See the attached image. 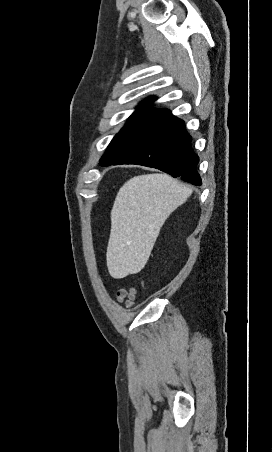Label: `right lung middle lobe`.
I'll return each instance as SVG.
<instances>
[{
	"mask_svg": "<svg viewBox=\"0 0 272 452\" xmlns=\"http://www.w3.org/2000/svg\"><path fill=\"white\" fill-rule=\"evenodd\" d=\"M155 114H133L113 138L100 160L101 166H110L133 146L159 118Z\"/></svg>",
	"mask_w": 272,
	"mask_h": 452,
	"instance_id": "1",
	"label": "right lung middle lobe"
}]
</instances>
